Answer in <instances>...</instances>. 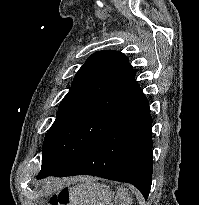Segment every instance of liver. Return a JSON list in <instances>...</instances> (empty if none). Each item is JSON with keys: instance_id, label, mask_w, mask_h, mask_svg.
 <instances>
[{"instance_id": "6515ba94", "label": "liver", "mask_w": 199, "mask_h": 205, "mask_svg": "<svg viewBox=\"0 0 199 205\" xmlns=\"http://www.w3.org/2000/svg\"><path fill=\"white\" fill-rule=\"evenodd\" d=\"M78 181L80 183H77ZM67 182L75 183L69 187L70 205H113L114 201H118L120 205L132 203L125 189L116 192L105 184L96 182V178L93 177L74 178L71 181L56 180L54 184L61 188Z\"/></svg>"}]
</instances>
